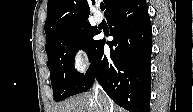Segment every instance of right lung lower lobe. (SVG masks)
<instances>
[{
  "instance_id": "right-lung-lower-lobe-1",
  "label": "right lung lower lobe",
  "mask_w": 193,
  "mask_h": 112,
  "mask_svg": "<svg viewBox=\"0 0 193 112\" xmlns=\"http://www.w3.org/2000/svg\"><path fill=\"white\" fill-rule=\"evenodd\" d=\"M107 21L114 37L110 55L102 40L71 95L87 91L97 79L108 96L129 112L150 111L151 23L145 0H128Z\"/></svg>"
}]
</instances>
